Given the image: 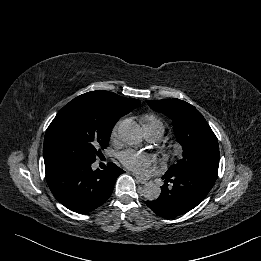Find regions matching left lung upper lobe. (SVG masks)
<instances>
[{
  "mask_svg": "<svg viewBox=\"0 0 261 261\" xmlns=\"http://www.w3.org/2000/svg\"><path fill=\"white\" fill-rule=\"evenodd\" d=\"M148 104L154 111L173 120L175 136L183 148L182 159L166 174L200 170L217 176L220 157L218 140L202 114L179 99L149 100Z\"/></svg>",
  "mask_w": 261,
  "mask_h": 261,
  "instance_id": "5c2ea615",
  "label": "left lung upper lobe"
}]
</instances>
